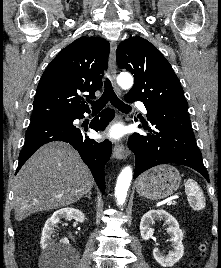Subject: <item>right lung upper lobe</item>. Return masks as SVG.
<instances>
[{"mask_svg":"<svg viewBox=\"0 0 221 268\" xmlns=\"http://www.w3.org/2000/svg\"><path fill=\"white\" fill-rule=\"evenodd\" d=\"M109 42L81 37L64 48L45 69L34 99L31 121L60 119L89 111L82 93L95 98L102 87L101 72L107 67Z\"/></svg>","mask_w":221,"mask_h":268,"instance_id":"obj_1","label":"right lung upper lobe"}]
</instances>
